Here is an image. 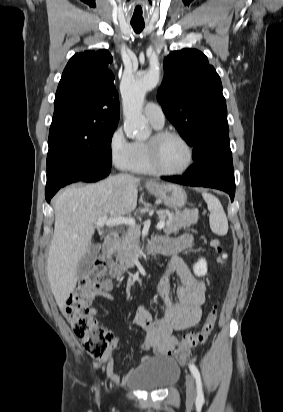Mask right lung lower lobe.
<instances>
[{
  "instance_id": "right-lung-lower-lobe-1",
  "label": "right lung lower lobe",
  "mask_w": 283,
  "mask_h": 412,
  "mask_svg": "<svg viewBox=\"0 0 283 412\" xmlns=\"http://www.w3.org/2000/svg\"><path fill=\"white\" fill-rule=\"evenodd\" d=\"M111 163L90 162L82 165H61L47 171L45 198L49 203L53 195L67 184L85 181L95 182L110 173Z\"/></svg>"
}]
</instances>
